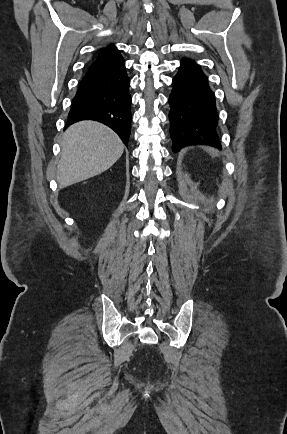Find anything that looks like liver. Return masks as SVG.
Returning a JSON list of instances; mask_svg holds the SVG:
<instances>
[{
    "mask_svg": "<svg viewBox=\"0 0 287 434\" xmlns=\"http://www.w3.org/2000/svg\"><path fill=\"white\" fill-rule=\"evenodd\" d=\"M56 179L60 188L108 170L123 154L124 144L107 126L81 121L63 134Z\"/></svg>",
    "mask_w": 287,
    "mask_h": 434,
    "instance_id": "1",
    "label": "liver"
}]
</instances>
